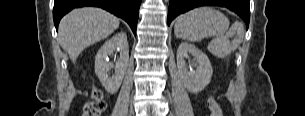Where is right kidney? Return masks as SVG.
<instances>
[{"instance_id": "obj_1", "label": "right kidney", "mask_w": 305, "mask_h": 116, "mask_svg": "<svg viewBox=\"0 0 305 116\" xmlns=\"http://www.w3.org/2000/svg\"><path fill=\"white\" fill-rule=\"evenodd\" d=\"M115 50L120 52V58L116 62L115 74L108 76V71L112 68L109 56ZM129 61V47L127 35L124 32L115 34L107 40L99 49L95 57V73L104 88L110 93H116L123 81Z\"/></svg>"}]
</instances>
